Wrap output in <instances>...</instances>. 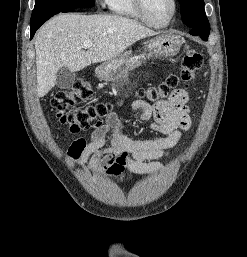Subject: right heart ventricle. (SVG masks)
I'll use <instances>...</instances> for the list:
<instances>
[{
  "label": "right heart ventricle",
  "mask_w": 247,
  "mask_h": 257,
  "mask_svg": "<svg viewBox=\"0 0 247 257\" xmlns=\"http://www.w3.org/2000/svg\"><path fill=\"white\" fill-rule=\"evenodd\" d=\"M107 6L113 14L143 20L134 0H108Z\"/></svg>",
  "instance_id": "e07e8e85"
}]
</instances>
